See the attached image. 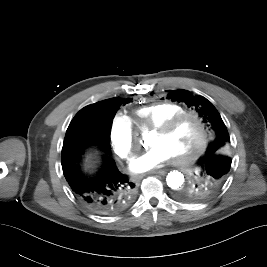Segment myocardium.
Listing matches in <instances>:
<instances>
[{"mask_svg":"<svg viewBox=\"0 0 267 267\" xmlns=\"http://www.w3.org/2000/svg\"><path fill=\"white\" fill-rule=\"evenodd\" d=\"M193 119L197 122L200 129V138L195 147V149L188 155L183 157H174L173 160L176 164L186 165L197 159L205 150L208 140L207 128L204 120L200 115L195 112H184L178 115H175L159 126L154 128L158 134L165 135L175 129L182 121L185 119Z\"/></svg>","mask_w":267,"mask_h":267,"instance_id":"f54148a6","label":"myocardium"}]
</instances>
